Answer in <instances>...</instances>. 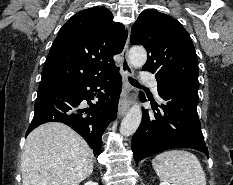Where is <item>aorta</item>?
<instances>
[{"instance_id":"1","label":"aorta","mask_w":233,"mask_h":185,"mask_svg":"<svg viewBox=\"0 0 233 185\" xmlns=\"http://www.w3.org/2000/svg\"><path fill=\"white\" fill-rule=\"evenodd\" d=\"M129 62L134 68H141L147 60V52L141 46H134L129 50ZM142 119V110L139 105H133L120 125V133L123 136L133 135L138 129Z\"/></svg>"}]
</instances>
